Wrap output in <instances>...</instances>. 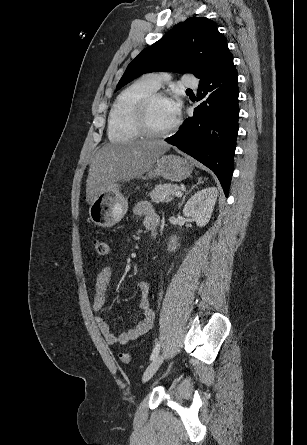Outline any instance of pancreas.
<instances>
[{
  "label": "pancreas",
  "instance_id": "obj_1",
  "mask_svg": "<svg viewBox=\"0 0 307 445\" xmlns=\"http://www.w3.org/2000/svg\"><path fill=\"white\" fill-rule=\"evenodd\" d=\"M178 190V184H170V182H166V184H156L155 188L148 192V196H150L152 202H170V200H173L174 198L172 194H175Z\"/></svg>",
  "mask_w": 307,
  "mask_h": 445
}]
</instances>
